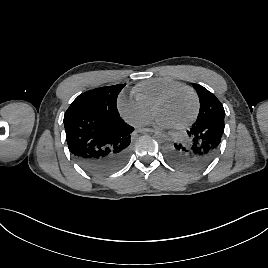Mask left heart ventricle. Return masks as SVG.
<instances>
[{"label":"left heart ventricle","instance_id":"1","mask_svg":"<svg viewBox=\"0 0 268 268\" xmlns=\"http://www.w3.org/2000/svg\"><path fill=\"white\" fill-rule=\"evenodd\" d=\"M194 111V99L187 90H180L160 105L157 117L168 122L171 127L188 120Z\"/></svg>","mask_w":268,"mask_h":268}]
</instances>
